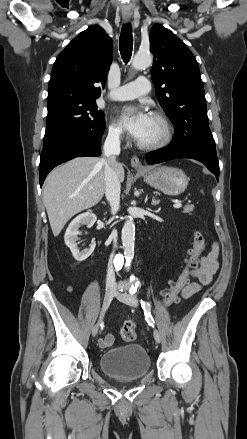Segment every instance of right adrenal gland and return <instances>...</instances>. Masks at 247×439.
I'll list each match as a JSON object with an SVG mask.
<instances>
[{
  "mask_svg": "<svg viewBox=\"0 0 247 439\" xmlns=\"http://www.w3.org/2000/svg\"><path fill=\"white\" fill-rule=\"evenodd\" d=\"M104 205H106V203L105 202H102Z\"/></svg>",
  "mask_w": 247,
  "mask_h": 439,
  "instance_id": "1",
  "label": "right adrenal gland"
}]
</instances>
